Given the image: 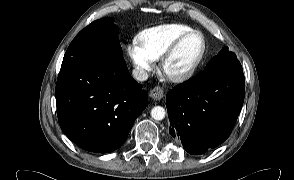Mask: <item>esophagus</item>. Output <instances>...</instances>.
Listing matches in <instances>:
<instances>
[{"instance_id": "1", "label": "esophagus", "mask_w": 294, "mask_h": 180, "mask_svg": "<svg viewBox=\"0 0 294 180\" xmlns=\"http://www.w3.org/2000/svg\"><path fill=\"white\" fill-rule=\"evenodd\" d=\"M150 96L154 100H160L164 96V90L160 86H155L151 91H150Z\"/></svg>"}]
</instances>
